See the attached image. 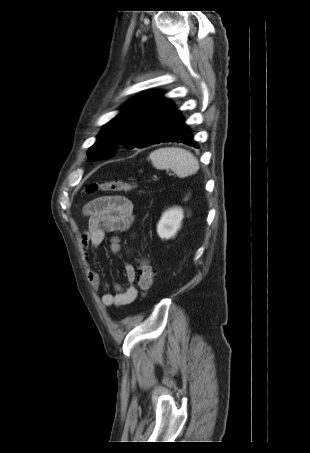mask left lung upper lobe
<instances>
[{"mask_svg": "<svg viewBox=\"0 0 310 453\" xmlns=\"http://www.w3.org/2000/svg\"><path fill=\"white\" fill-rule=\"evenodd\" d=\"M162 96L160 91H150L125 103L122 112L100 132L88 156L106 158L115 153L118 145L143 148L161 140L177 112L174 104Z\"/></svg>", "mask_w": 310, "mask_h": 453, "instance_id": "obj_1", "label": "left lung upper lobe"}]
</instances>
